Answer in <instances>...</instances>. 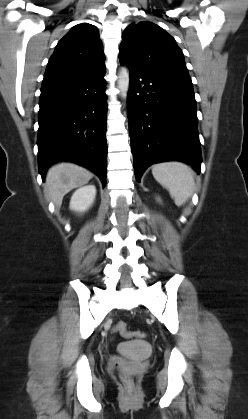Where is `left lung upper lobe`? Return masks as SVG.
<instances>
[{"label":"left lung upper lobe","mask_w":248,"mask_h":419,"mask_svg":"<svg viewBox=\"0 0 248 419\" xmlns=\"http://www.w3.org/2000/svg\"><path fill=\"white\" fill-rule=\"evenodd\" d=\"M120 61L148 73L192 85L181 49L154 23H132L122 35Z\"/></svg>","instance_id":"1"}]
</instances>
